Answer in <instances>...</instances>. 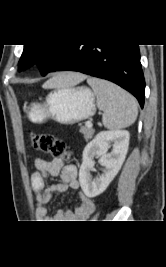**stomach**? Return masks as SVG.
<instances>
[{"label":"stomach","instance_id":"obj_1","mask_svg":"<svg viewBox=\"0 0 166 267\" xmlns=\"http://www.w3.org/2000/svg\"><path fill=\"white\" fill-rule=\"evenodd\" d=\"M95 112L94 93L88 87H59L47 95L44 104H31L28 117L35 123L51 118L62 124H74Z\"/></svg>","mask_w":166,"mask_h":267}]
</instances>
